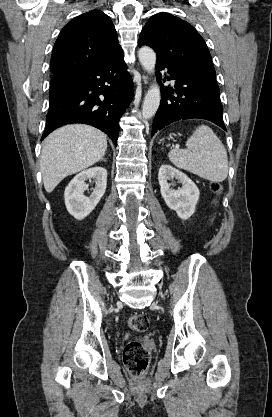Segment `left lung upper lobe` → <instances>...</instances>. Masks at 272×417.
<instances>
[{"label":"left lung upper lobe","mask_w":272,"mask_h":417,"mask_svg":"<svg viewBox=\"0 0 272 417\" xmlns=\"http://www.w3.org/2000/svg\"><path fill=\"white\" fill-rule=\"evenodd\" d=\"M138 45L153 48L156 62L182 68L217 85L208 47L188 22L169 13H157L142 29Z\"/></svg>","instance_id":"obj_1"}]
</instances>
